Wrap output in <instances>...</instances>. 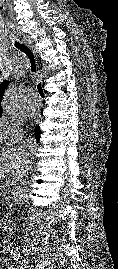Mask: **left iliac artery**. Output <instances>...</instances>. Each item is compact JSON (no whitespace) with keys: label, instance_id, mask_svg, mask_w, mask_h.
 <instances>
[{"label":"left iliac artery","instance_id":"left-iliac-artery-1","mask_svg":"<svg viewBox=\"0 0 118 269\" xmlns=\"http://www.w3.org/2000/svg\"><path fill=\"white\" fill-rule=\"evenodd\" d=\"M19 257H20V254H14V256H13L14 260H16V261H18Z\"/></svg>","mask_w":118,"mask_h":269}]
</instances>
